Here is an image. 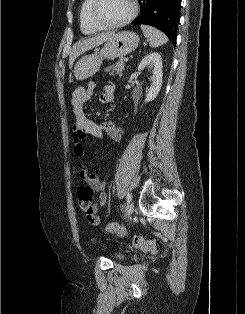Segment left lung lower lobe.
<instances>
[{"mask_svg":"<svg viewBox=\"0 0 245 314\" xmlns=\"http://www.w3.org/2000/svg\"><path fill=\"white\" fill-rule=\"evenodd\" d=\"M141 13L132 23L162 30L175 45L180 19L181 0H138Z\"/></svg>","mask_w":245,"mask_h":314,"instance_id":"0a47b994","label":"left lung lower lobe"}]
</instances>
